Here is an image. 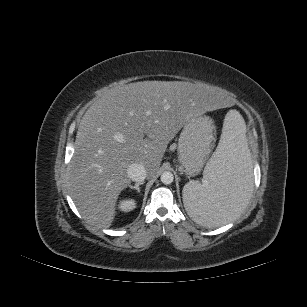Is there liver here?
<instances>
[{"label": "liver", "instance_id": "1", "mask_svg": "<svg viewBox=\"0 0 307 307\" xmlns=\"http://www.w3.org/2000/svg\"><path fill=\"white\" fill-rule=\"evenodd\" d=\"M229 98L209 86L185 81H143L116 86L84 114L68 167L70 195L83 218L109 228L116 202L142 164L152 175L170 141L192 117L223 110Z\"/></svg>", "mask_w": 307, "mask_h": 307}]
</instances>
